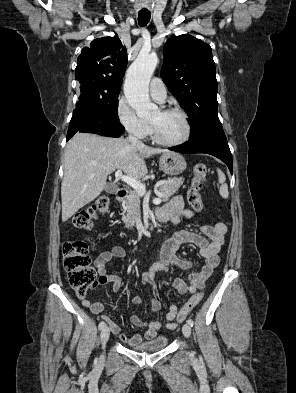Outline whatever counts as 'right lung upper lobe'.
Wrapping results in <instances>:
<instances>
[{
    "instance_id": "cb5924a9",
    "label": "right lung upper lobe",
    "mask_w": 296,
    "mask_h": 393,
    "mask_svg": "<svg viewBox=\"0 0 296 393\" xmlns=\"http://www.w3.org/2000/svg\"><path fill=\"white\" fill-rule=\"evenodd\" d=\"M127 66L126 48L117 34L103 37L84 47L77 59L75 78L80 84L93 83L108 90L120 91Z\"/></svg>"
}]
</instances>
